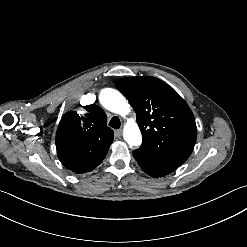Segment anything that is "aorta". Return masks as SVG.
<instances>
[{
  "instance_id": "762f6f07",
  "label": "aorta",
  "mask_w": 247,
  "mask_h": 247,
  "mask_svg": "<svg viewBox=\"0 0 247 247\" xmlns=\"http://www.w3.org/2000/svg\"><path fill=\"white\" fill-rule=\"evenodd\" d=\"M100 103L109 111L126 116L130 112V105L125 97L117 90L105 88L99 95ZM123 136L129 146H140L142 143V135L136 122L126 123L123 130Z\"/></svg>"
}]
</instances>
